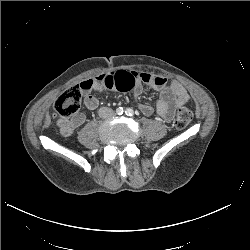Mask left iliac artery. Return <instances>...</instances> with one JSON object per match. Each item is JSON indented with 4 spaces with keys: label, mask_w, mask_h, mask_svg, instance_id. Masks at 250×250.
Masks as SVG:
<instances>
[{
    "label": "left iliac artery",
    "mask_w": 250,
    "mask_h": 250,
    "mask_svg": "<svg viewBox=\"0 0 250 250\" xmlns=\"http://www.w3.org/2000/svg\"><path fill=\"white\" fill-rule=\"evenodd\" d=\"M125 114H126L127 116H133V115H134V111H133V109H131V108H127V109L125 110Z\"/></svg>",
    "instance_id": "1"
}]
</instances>
